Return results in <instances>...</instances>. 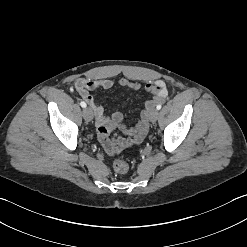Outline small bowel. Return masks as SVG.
<instances>
[{
	"mask_svg": "<svg viewBox=\"0 0 247 247\" xmlns=\"http://www.w3.org/2000/svg\"><path fill=\"white\" fill-rule=\"evenodd\" d=\"M113 86L114 81L111 79L80 78L74 83L75 91L88 103L95 116L99 140L108 154H114L120 146L141 142L148 130L147 112L149 108L155 102L164 99L167 95L166 87L162 81L158 80L147 84L146 90L153 95V98L146 102L145 109L141 112L137 124L128 128L124 124L122 113L114 111L111 115H106L104 108L91 94V91L95 89L102 88L107 90ZM119 86L126 90L136 91L140 89L141 85L138 82L122 78L119 81ZM115 129H120L124 134L128 135V138H110V133ZM102 131L104 132L103 136H101Z\"/></svg>",
	"mask_w": 247,
	"mask_h": 247,
	"instance_id": "obj_1",
	"label": "small bowel"
}]
</instances>
